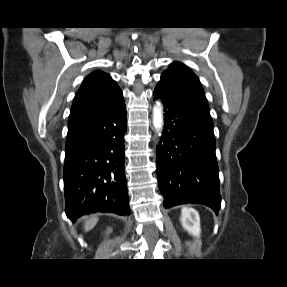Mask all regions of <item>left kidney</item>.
Listing matches in <instances>:
<instances>
[{"instance_id": "obj_1", "label": "left kidney", "mask_w": 287, "mask_h": 287, "mask_svg": "<svg viewBox=\"0 0 287 287\" xmlns=\"http://www.w3.org/2000/svg\"><path fill=\"white\" fill-rule=\"evenodd\" d=\"M180 221L185 230L193 236H200V217L196 210L192 208H183L181 211Z\"/></svg>"}]
</instances>
